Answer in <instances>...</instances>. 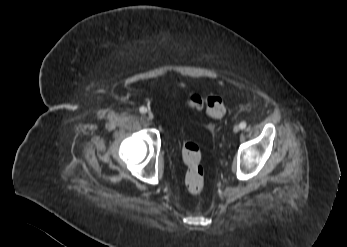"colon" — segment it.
<instances>
[{
	"label": "colon",
	"instance_id": "1",
	"mask_svg": "<svg viewBox=\"0 0 347 247\" xmlns=\"http://www.w3.org/2000/svg\"><path fill=\"white\" fill-rule=\"evenodd\" d=\"M188 105L196 110L205 108L207 113L214 118L222 117L226 111L223 100L215 95L202 97L198 94H192L189 96ZM182 157L187 167L186 190L192 195H198L204 187V169L198 145L191 140H185L182 145Z\"/></svg>",
	"mask_w": 347,
	"mask_h": 247
}]
</instances>
